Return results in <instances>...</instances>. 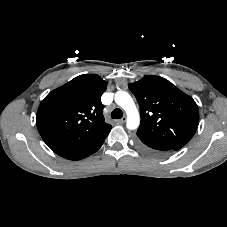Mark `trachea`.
Wrapping results in <instances>:
<instances>
[{"mask_svg": "<svg viewBox=\"0 0 227 227\" xmlns=\"http://www.w3.org/2000/svg\"><path fill=\"white\" fill-rule=\"evenodd\" d=\"M123 116V112L121 109L117 108V109H114L111 113V117L113 119H121Z\"/></svg>", "mask_w": 227, "mask_h": 227, "instance_id": "obj_1", "label": "trachea"}]
</instances>
